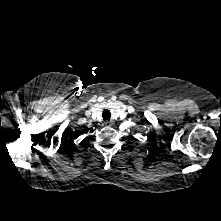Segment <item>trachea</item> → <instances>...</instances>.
<instances>
[{"mask_svg": "<svg viewBox=\"0 0 221 221\" xmlns=\"http://www.w3.org/2000/svg\"><path fill=\"white\" fill-rule=\"evenodd\" d=\"M102 117L104 119V121L106 120H110V117H111V113L109 110H104L103 113H102Z\"/></svg>", "mask_w": 221, "mask_h": 221, "instance_id": "1", "label": "trachea"}]
</instances>
